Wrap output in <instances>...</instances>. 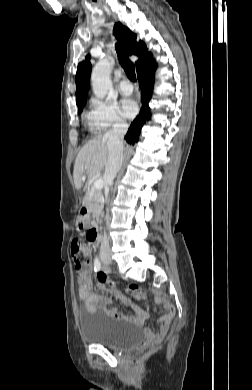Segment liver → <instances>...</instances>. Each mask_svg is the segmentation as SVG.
<instances>
[{"label":"liver","instance_id":"liver-1","mask_svg":"<svg viewBox=\"0 0 252 390\" xmlns=\"http://www.w3.org/2000/svg\"><path fill=\"white\" fill-rule=\"evenodd\" d=\"M108 162V146L106 137L97 136L88 141L76 157L73 179L77 190L82 187L86 177L93 178L100 173Z\"/></svg>","mask_w":252,"mask_h":390}]
</instances>
